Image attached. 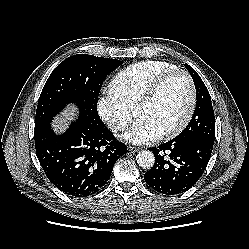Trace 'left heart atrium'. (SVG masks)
<instances>
[{"label": "left heart atrium", "instance_id": "1", "mask_svg": "<svg viewBox=\"0 0 249 249\" xmlns=\"http://www.w3.org/2000/svg\"><path fill=\"white\" fill-rule=\"evenodd\" d=\"M162 135V130L152 120L141 116L123 137L134 144H145L159 139Z\"/></svg>", "mask_w": 249, "mask_h": 249}]
</instances>
